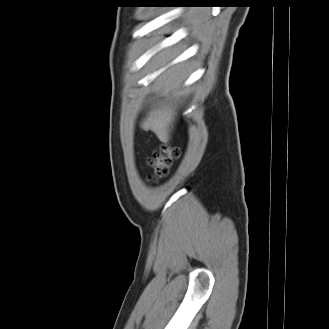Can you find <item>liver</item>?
Segmentation results:
<instances>
[{
	"label": "liver",
	"instance_id": "obj_1",
	"mask_svg": "<svg viewBox=\"0 0 329 329\" xmlns=\"http://www.w3.org/2000/svg\"><path fill=\"white\" fill-rule=\"evenodd\" d=\"M177 55L176 51L168 48L158 53L155 57L157 66H166ZM185 65L178 64L169 67L158 79L157 97H164L156 107H153L141 121L140 126L144 131L151 130L163 143L170 140V133L173 128L179 98L184 97L185 88ZM172 100H174L175 105Z\"/></svg>",
	"mask_w": 329,
	"mask_h": 329
}]
</instances>
